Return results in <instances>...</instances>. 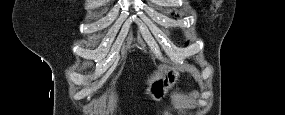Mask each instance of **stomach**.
Returning <instances> with one entry per match:
<instances>
[{
	"label": "stomach",
	"instance_id": "obj_1",
	"mask_svg": "<svg viewBox=\"0 0 285 115\" xmlns=\"http://www.w3.org/2000/svg\"><path fill=\"white\" fill-rule=\"evenodd\" d=\"M179 77V71L175 68H170L163 76L153 80L145 94L152 100H162L168 91L176 84Z\"/></svg>",
	"mask_w": 285,
	"mask_h": 115
}]
</instances>
